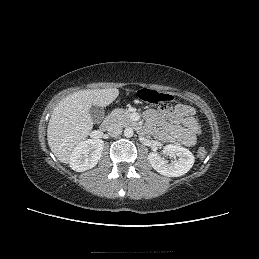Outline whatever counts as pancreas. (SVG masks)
Here are the masks:
<instances>
[{
    "label": "pancreas",
    "mask_w": 259,
    "mask_h": 259,
    "mask_svg": "<svg viewBox=\"0 0 259 259\" xmlns=\"http://www.w3.org/2000/svg\"><path fill=\"white\" fill-rule=\"evenodd\" d=\"M109 117L111 121L116 122L121 126L135 125V123L130 119V113L122 108L113 110Z\"/></svg>",
    "instance_id": "cf45deb5"
}]
</instances>
